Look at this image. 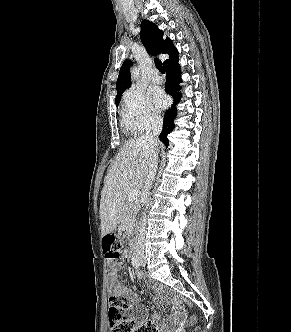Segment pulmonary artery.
<instances>
[{
	"instance_id": "1",
	"label": "pulmonary artery",
	"mask_w": 291,
	"mask_h": 332,
	"mask_svg": "<svg viewBox=\"0 0 291 332\" xmlns=\"http://www.w3.org/2000/svg\"><path fill=\"white\" fill-rule=\"evenodd\" d=\"M151 79L154 83L157 84L162 82V77L158 74V72H154Z\"/></svg>"
}]
</instances>
